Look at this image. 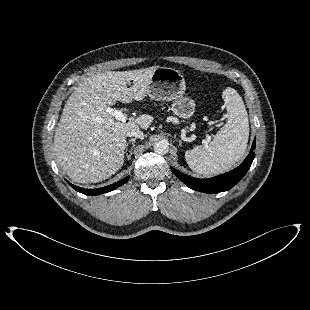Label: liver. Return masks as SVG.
Wrapping results in <instances>:
<instances>
[{
	"mask_svg": "<svg viewBox=\"0 0 310 310\" xmlns=\"http://www.w3.org/2000/svg\"><path fill=\"white\" fill-rule=\"evenodd\" d=\"M159 66L132 71H106L86 78L68 98L55 129L53 149L66 174L78 183H97L124 163L127 132L147 129L150 115L115 121L106 108L116 101H142ZM131 87H127L130 81Z\"/></svg>",
	"mask_w": 310,
	"mask_h": 310,
	"instance_id": "obj_1",
	"label": "liver"
}]
</instances>
